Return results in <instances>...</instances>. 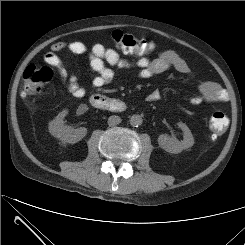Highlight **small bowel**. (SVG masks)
<instances>
[{
  "label": "small bowel",
  "mask_w": 245,
  "mask_h": 245,
  "mask_svg": "<svg viewBox=\"0 0 245 245\" xmlns=\"http://www.w3.org/2000/svg\"><path fill=\"white\" fill-rule=\"evenodd\" d=\"M61 51H67L75 55H88L91 68L98 73L92 81L95 88H101L112 81L114 78L112 67L123 70L133 69L139 80H148L169 69H174L187 76L192 74L189 64L177 52L172 50L161 51L154 59L140 58L133 61L121 57L114 49L101 44H95L89 48L82 42H56L44 54V61L56 70L63 87L76 98L86 96L87 89L79 84L76 76L69 75L63 59L57 55ZM148 98L154 101L158 98V95L153 92ZM226 98L227 95L224 89L214 82L206 81L199 85V93L189 99V104L197 106L219 103L225 101Z\"/></svg>",
  "instance_id": "obj_1"
}]
</instances>
